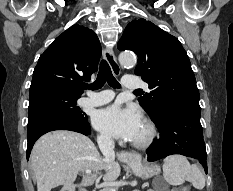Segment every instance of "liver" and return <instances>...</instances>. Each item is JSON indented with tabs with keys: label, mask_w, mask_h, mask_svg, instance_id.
Listing matches in <instances>:
<instances>
[{
	"label": "liver",
	"mask_w": 233,
	"mask_h": 191,
	"mask_svg": "<svg viewBox=\"0 0 233 191\" xmlns=\"http://www.w3.org/2000/svg\"><path fill=\"white\" fill-rule=\"evenodd\" d=\"M31 168L37 180V191H51L62 185L61 191L91 186L101 171L104 179L115 181L120 175L117 162L107 163L100 158L94 143L86 136L68 130H54L40 137L31 152ZM93 171L75 184L79 172Z\"/></svg>",
	"instance_id": "1"
}]
</instances>
